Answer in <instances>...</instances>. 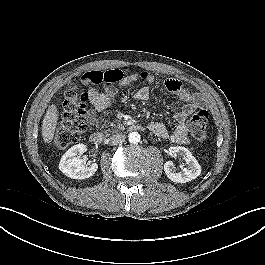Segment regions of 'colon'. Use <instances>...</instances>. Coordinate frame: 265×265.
Here are the masks:
<instances>
[{"instance_id": "1", "label": "colon", "mask_w": 265, "mask_h": 265, "mask_svg": "<svg viewBox=\"0 0 265 265\" xmlns=\"http://www.w3.org/2000/svg\"><path fill=\"white\" fill-rule=\"evenodd\" d=\"M119 71H96L88 74L92 84L114 83ZM62 113L58 119L54 143L58 148L79 141L81 133L86 128V103L89 94L79 88L77 82H72L64 92ZM209 113L206 110L196 111L190 120V131L193 138L199 142L207 139Z\"/></svg>"}]
</instances>
